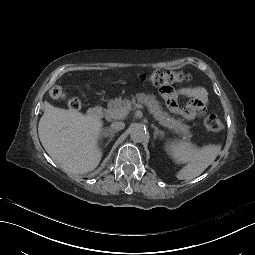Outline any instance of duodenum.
<instances>
[{"label":"duodenum","instance_id":"obj_1","mask_svg":"<svg viewBox=\"0 0 255 255\" xmlns=\"http://www.w3.org/2000/svg\"><path fill=\"white\" fill-rule=\"evenodd\" d=\"M103 111L99 106L89 109L87 115L90 119L99 120L102 117Z\"/></svg>","mask_w":255,"mask_h":255}]
</instances>
